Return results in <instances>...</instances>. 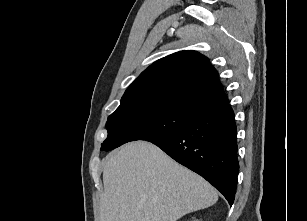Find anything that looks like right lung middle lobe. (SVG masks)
<instances>
[{
    "label": "right lung middle lobe",
    "instance_id": "1",
    "mask_svg": "<svg viewBox=\"0 0 307 221\" xmlns=\"http://www.w3.org/2000/svg\"><path fill=\"white\" fill-rule=\"evenodd\" d=\"M208 108L177 100L139 99L121 102L108 117V137L101 150H111L135 140H150L176 132L205 113Z\"/></svg>",
    "mask_w": 307,
    "mask_h": 221
}]
</instances>
